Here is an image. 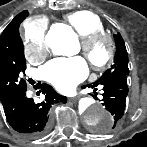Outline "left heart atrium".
Returning a JSON list of instances; mask_svg holds the SVG:
<instances>
[{
    "label": "left heart atrium",
    "instance_id": "left-heart-atrium-1",
    "mask_svg": "<svg viewBox=\"0 0 147 147\" xmlns=\"http://www.w3.org/2000/svg\"><path fill=\"white\" fill-rule=\"evenodd\" d=\"M42 73L48 82L65 92L86 78L88 66L81 57L55 59L43 67Z\"/></svg>",
    "mask_w": 147,
    "mask_h": 147
}]
</instances>
